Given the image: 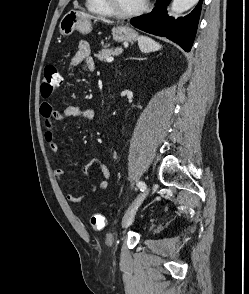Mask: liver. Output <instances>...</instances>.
Returning a JSON list of instances; mask_svg holds the SVG:
<instances>
[{
	"mask_svg": "<svg viewBox=\"0 0 249 294\" xmlns=\"http://www.w3.org/2000/svg\"><path fill=\"white\" fill-rule=\"evenodd\" d=\"M82 14L85 15V16H87V17H89V18H91V16L88 15V14H84V13H82ZM103 21L106 22V23H108V24H111L112 23L111 21L105 20V19H103Z\"/></svg>",
	"mask_w": 249,
	"mask_h": 294,
	"instance_id": "obj_1",
	"label": "liver"
}]
</instances>
